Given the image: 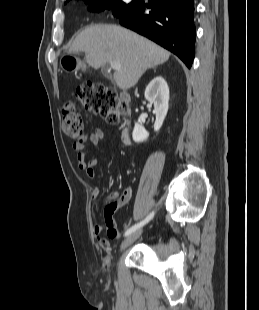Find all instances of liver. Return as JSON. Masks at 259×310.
<instances>
[{"label": "liver", "instance_id": "6515ba94", "mask_svg": "<svg viewBox=\"0 0 259 310\" xmlns=\"http://www.w3.org/2000/svg\"><path fill=\"white\" fill-rule=\"evenodd\" d=\"M82 51L85 62L94 69L118 61L121 68L114 73V82L127 90L136 85L149 68L166 62L170 53L154 42L117 25H93L81 31L68 49Z\"/></svg>", "mask_w": 259, "mask_h": 310}]
</instances>
